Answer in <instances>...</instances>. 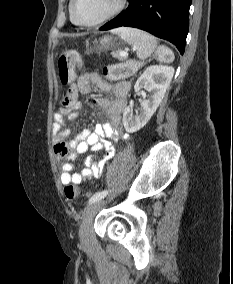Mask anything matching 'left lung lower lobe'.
I'll return each mask as SVG.
<instances>
[{
	"mask_svg": "<svg viewBox=\"0 0 233 284\" xmlns=\"http://www.w3.org/2000/svg\"><path fill=\"white\" fill-rule=\"evenodd\" d=\"M190 5L191 0H129L128 8L100 30L123 26L139 28L170 41L183 54Z\"/></svg>",
	"mask_w": 233,
	"mask_h": 284,
	"instance_id": "0a47b994",
	"label": "left lung lower lobe"
}]
</instances>
